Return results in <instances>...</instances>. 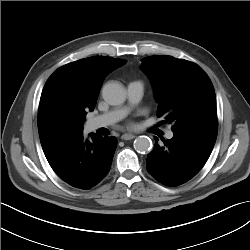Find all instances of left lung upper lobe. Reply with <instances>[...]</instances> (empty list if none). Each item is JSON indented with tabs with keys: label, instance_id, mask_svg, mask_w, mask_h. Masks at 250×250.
Instances as JSON below:
<instances>
[{
	"label": "left lung upper lobe",
	"instance_id": "left-lung-upper-lobe-1",
	"mask_svg": "<svg viewBox=\"0 0 250 250\" xmlns=\"http://www.w3.org/2000/svg\"><path fill=\"white\" fill-rule=\"evenodd\" d=\"M141 61L159 103L157 116L172 124L173 132L218 129L215 91L201 67L172 56H149Z\"/></svg>",
	"mask_w": 250,
	"mask_h": 250
}]
</instances>
